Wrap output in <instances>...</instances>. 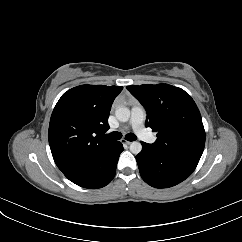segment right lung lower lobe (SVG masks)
Listing matches in <instances>:
<instances>
[{"label": "right lung lower lobe", "instance_id": "1", "mask_svg": "<svg viewBox=\"0 0 242 242\" xmlns=\"http://www.w3.org/2000/svg\"><path fill=\"white\" fill-rule=\"evenodd\" d=\"M123 150L121 142L114 141L90 154L64 175L84 188L104 187L114 178L116 165Z\"/></svg>", "mask_w": 242, "mask_h": 242}]
</instances>
